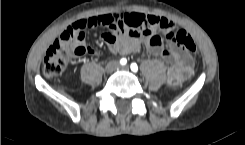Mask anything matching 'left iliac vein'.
I'll use <instances>...</instances> for the list:
<instances>
[{"mask_svg":"<svg viewBox=\"0 0 245 145\" xmlns=\"http://www.w3.org/2000/svg\"><path fill=\"white\" fill-rule=\"evenodd\" d=\"M128 69H129L128 66H124V67L121 68V70H125V71L128 70Z\"/></svg>","mask_w":245,"mask_h":145,"instance_id":"1","label":"left iliac vein"}]
</instances>
